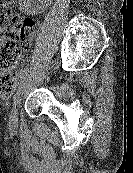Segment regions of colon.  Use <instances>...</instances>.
Instances as JSON below:
<instances>
[{
	"mask_svg": "<svg viewBox=\"0 0 133 173\" xmlns=\"http://www.w3.org/2000/svg\"><path fill=\"white\" fill-rule=\"evenodd\" d=\"M0 0V96L8 98L15 87L17 65L29 48L33 21L22 18Z\"/></svg>",
	"mask_w": 133,
	"mask_h": 173,
	"instance_id": "1",
	"label": "colon"
}]
</instances>
